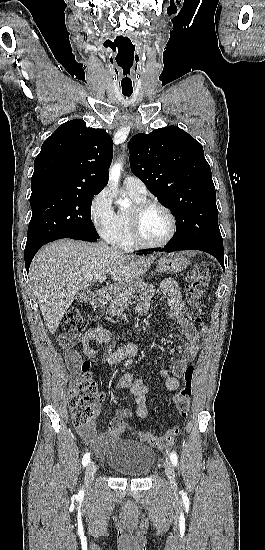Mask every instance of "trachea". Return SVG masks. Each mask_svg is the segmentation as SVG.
Listing matches in <instances>:
<instances>
[{"label":"trachea","mask_w":265,"mask_h":550,"mask_svg":"<svg viewBox=\"0 0 265 550\" xmlns=\"http://www.w3.org/2000/svg\"><path fill=\"white\" fill-rule=\"evenodd\" d=\"M124 96H131L132 92H129V91H123L122 92Z\"/></svg>","instance_id":"3493384b"}]
</instances>
